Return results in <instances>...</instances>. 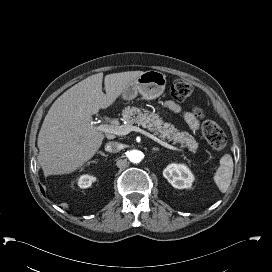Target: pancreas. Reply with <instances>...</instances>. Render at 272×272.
Wrapping results in <instances>:
<instances>
[{"label":"pancreas","mask_w":272,"mask_h":272,"mask_svg":"<svg viewBox=\"0 0 272 272\" xmlns=\"http://www.w3.org/2000/svg\"><path fill=\"white\" fill-rule=\"evenodd\" d=\"M122 118L127 125L137 124L161 138L173 140L175 143L187 146L193 153L197 151L198 143L193 136L186 132H179L174 126L164 123L157 114L148 110L128 106L122 111Z\"/></svg>","instance_id":"pancreas-1"}]
</instances>
